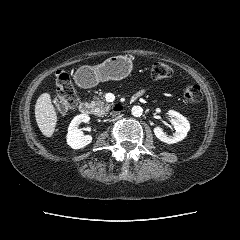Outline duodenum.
<instances>
[{
	"mask_svg": "<svg viewBox=\"0 0 240 240\" xmlns=\"http://www.w3.org/2000/svg\"><path fill=\"white\" fill-rule=\"evenodd\" d=\"M138 98V96L133 97L132 101H135ZM79 109L83 114H91L92 113V107L90 103L83 101L79 105Z\"/></svg>",
	"mask_w": 240,
	"mask_h": 240,
	"instance_id": "obj_1",
	"label": "duodenum"
}]
</instances>
